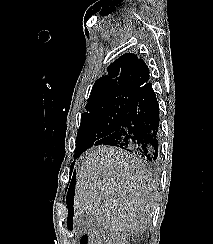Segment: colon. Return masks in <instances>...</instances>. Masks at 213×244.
I'll return each mask as SVG.
<instances>
[{"mask_svg": "<svg viewBox=\"0 0 213 244\" xmlns=\"http://www.w3.org/2000/svg\"><path fill=\"white\" fill-rule=\"evenodd\" d=\"M80 244H115L113 240L98 234L94 236H82Z\"/></svg>", "mask_w": 213, "mask_h": 244, "instance_id": "colon-1", "label": "colon"}]
</instances>
